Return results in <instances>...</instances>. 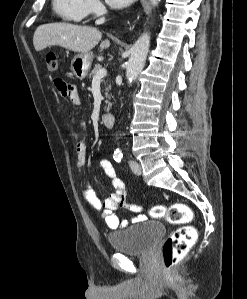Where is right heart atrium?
<instances>
[{
  "label": "right heart atrium",
  "mask_w": 247,
  "mask_h": 299,
  "mask_svg": "<svg viewBox=\"0 0 247 299\" xmlns=\"http://www.w3.org/2000/svg\"><path fill=\"white\" fill-rule=\"evenodd\" d=\"M88 2V13L98 14L102 10V5L99 0H87Z\"/></svg>",
  "instance_id": "d8ad5b80"
}]
</instances>
